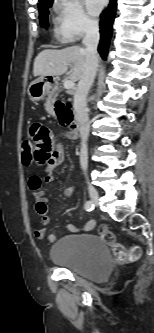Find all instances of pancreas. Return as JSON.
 I'll use <instances>...</instances> for the list:
<instances>
[{
  "mask_svg": "<svg viewBox=\"0 0 154 333\" xmlns=\"http://www.w3.org/2000/svg\"><path fill=\"white\" fill-rule=\"evenodd\" d=\"M60 90H53L49 93V97L47 98V102L45 104L46 109L48 112H53V104L56 101V97L58 96Z\"/></svg>",
  "mask_w": 154,
  "mask_h": 333,
  "instance_id": "1",
  "label": "pancreas"
}]
</instances>
